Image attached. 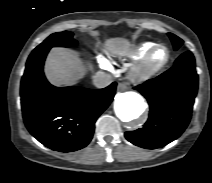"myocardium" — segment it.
<instances>
[{
	"label": "myocardium",
	"instance_id": "myocardium-1",
	"mask_svg": "<svg viewBox=\"0 0 212 183\" xmlns=\"http://www.w3.org/2000/svg\"><path fill=\"white\" fill-rule=\"evenodd\" d=\"M164 48L167 52L166 59L156 66H151L150 60L153 53L159 49ZM171 60V51L170 49L163 44H156L149 51H147L140 59H138L135 64L130 68L129 78L136 83H144L157 74H159Z\"/></svg>",
	"mask_w": 212,
	"mask_h": 183
}]
</instances>
